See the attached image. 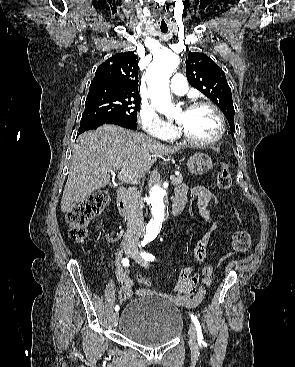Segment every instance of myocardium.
I'll return each mask as SVG.
<instances>
[{
	"mask_svg": "<svg viewBox=\"0 0 295 367\" xmlns=\"http://www.w3.org/2000/svg\"><path fill=\"white\" fill-rule=\"evenodd\" d=\"M203 106L211 108L219 120L220 128H219V132L217 133L215 137L209 140H197L191 137L181 126L178 127L179 135L187 143L194 145V146H198V147H206V146H211V145L216 144L223 138L225 131H226V122H225L224 115L221 112V110L218 108V106L215 105L214 103L207 101V100H198V101H194L193 103H191L188 109H194V108L203 107Z\"/></svg>",
	"mask_w": 295,
	"mask_h": 367,
	"instance_id": "myocardium-1",
	"label": "myocardium"
}]
</instances>
